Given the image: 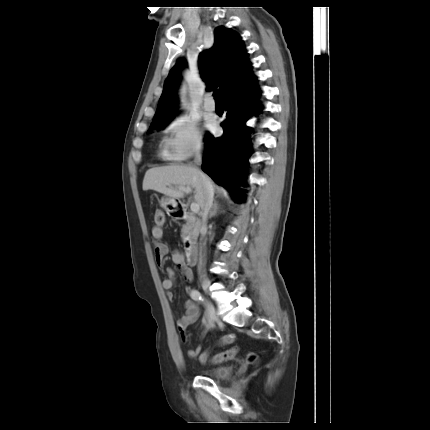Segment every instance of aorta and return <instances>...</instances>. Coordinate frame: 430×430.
Returning <instances> with one entry per match:
<instances>
[{
    "instance_id": "obj_1",
    "label": "aorta",
    "mask_w": 430,
    "mask_h": 430,
    "mask_svg": "<svg viewBox=\"0 0 430 430\" xmlns=\"http://www.w3.org/2000/svg\"><path fill=\"white\" fill-rule=\"evenodd\" d=\"M181 99H182V101H184V99H185V92H184V90L182 89L181 90Z\"/></svg>"
}]
</instances>
